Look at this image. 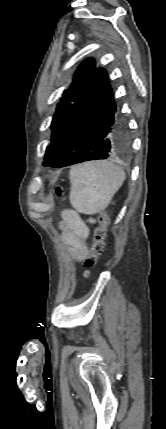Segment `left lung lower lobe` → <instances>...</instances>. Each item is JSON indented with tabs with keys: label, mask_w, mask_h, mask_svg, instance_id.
I'll return each mask as SVG.
<instances>
[{
	"label": "left lung lower lobe",
	"mask_w": 166,
	"mask_h": 429,
	"mask_svg": "<svg viewBox=\"0 0 166 429\" xmlns=\"http://www.w3.org/2000/svg\"><path fill=\"white\" fill-rule=\"evenodd\" d=\"M128 146L127 124L117 110L107 73L95 65L53 156L44 166L61 168L106 159Z\"/></svg>",
	"instance_id": "0a47b994"
}]
</instances>
